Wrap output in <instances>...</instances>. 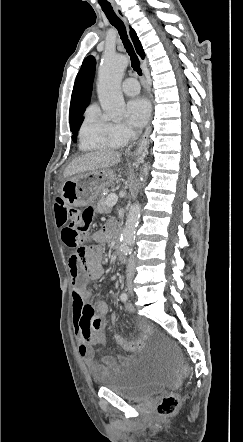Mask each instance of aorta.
Returning <instances> with one entry per match:
<instances>
[{
	"label": "aorta",
	"mask_w": 243,
	"mask_h": 442,
	"mask_svg": "<svg viewBox=\"0 0 243 442\" xmlns=\"http://www.w3.org/2000/svg\"><path fill=\"white\" fill-rule=\"evenodd\" d=\"M128 60L124 55H106L99 67L98 95L107 117L119 119L125 113V101L120 82L127 68ZM149 166L145 163L140 176L141 182L148 175ZM140 218V205L134 203L129 208L127 220L121 234V251L130 254L135 241V233Z\"/></svg>",
	"instance_id": "762f6f07"
}]
</instances>
